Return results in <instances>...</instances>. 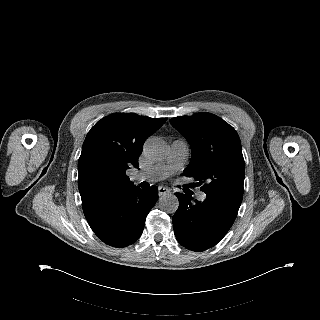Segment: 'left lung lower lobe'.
Here are the masks:
<instances>
[{
  "label": "left lung lower lobe",
  "instance_id": "left-lung-lower-lobe-1",
  "mask_svg": "<svg viewBox=\"0 0 320 320\" xmlns=\"http://www.w3.org/2000/svg\"><path fill=\"white\" fill-rule=\"evenodd\" d=\"M179 207L173 216L178 242L192 251H204L216 245L229 231L240 205L227 198L206 195L204 201H192L190 195L175 193Z\"/></svg>",
  "mask_w": 320,
  "mask_h": 320
}]
</instances>
